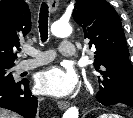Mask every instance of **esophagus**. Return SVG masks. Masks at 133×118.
Wrapping results in <instances>:
<instances>
[{
	"instance_id": "1",
	"label": "esophagus",
	"mask_w": 133,
	"mask_h": 118,
	"mask_svg": "<svg viewBox=\"0 0 133 118\" xmlns=\"http://www.w3.org/2000/svg\"><path fill=\"white\" fill-rule=\"evenodd\" d=\"M47 3L51 12H55L57 10L59 5L58 0H48ZM57 105L59 109L65 110L66 108L69 107L70 104L69 102H66V101H58Z\"/></svg>"
}]
</instances>
